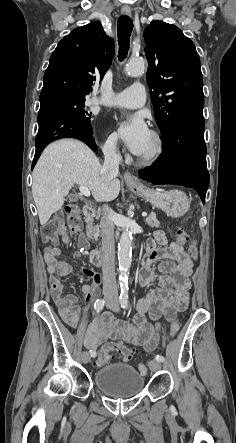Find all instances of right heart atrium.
Masks as SVG:
<instances>
[{
    "mask_svg": "<svg viewBox=\"0 0 236 443\" xmlns=\"http://www.w3.org/2000/svg\"><path fill=\"white\" fill-rule=\"evenodd\" d=\"M104 151L106 154L113 156L117 153V141L115 137L109 136L104 143Z\"/></svg>",
    "mask_w": 236,
    "mask_h": 443,
    "instance_id": "1",
    "label": "right heart atrium"
}]
</instances>
